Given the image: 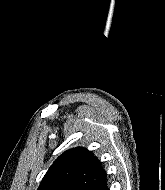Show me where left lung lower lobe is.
Instances as JSON below:
<instances>
[{"label":"left lung lower lobe","mask_w":165,"mask_h":190,"mask_svg":"<svg viewBox=\"0 0 165 190\" xmlns=\"http://www.w3.org/2000/svg\"><path fill=\"white\" fill-rule=\"evenodd\" d=\"M102 190H108L107 184L105 185V187Z\"/></svg>","instance_id":"1"}]
</instances>
